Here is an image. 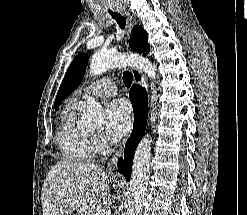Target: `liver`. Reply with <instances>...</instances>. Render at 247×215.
Returning <instances> with one entry per match:
<instances>
[{
  "label": "liver",
  "mask_w": 247,
  "mask_h": 215,
  "mask_svg": "<svg viewBox=\"0 0 247 215\" xmlns=\"http://www.w3.org/2000/svg\"><path fill=\"white\" fill-rule=\"evenodd\" d=\"M108 178L96 164L57 162L42 187L43 215H69L89 202L100 204L109 191Z\"/></svg>",
  "instance_id": "obj_1"
}]
</instances>
